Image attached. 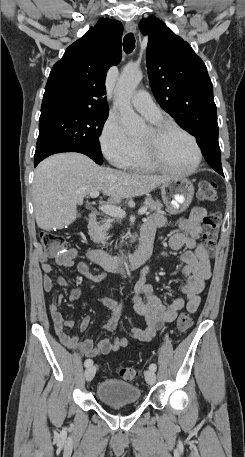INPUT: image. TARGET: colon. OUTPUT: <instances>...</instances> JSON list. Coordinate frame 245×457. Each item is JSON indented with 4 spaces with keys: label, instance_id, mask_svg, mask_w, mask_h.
Returning a JSON list of instances; mask_svg holds the SVG:
<instances>
[{
    "label": "colon",
    "instance_id": "1",
    "mask_svg": "<svg viewBox=\"0 0 245 457\" xmlns=\"http://www.w3.org/2000/svg\"><path fill=\"white\" fill-rule=\"evenodd\" d=\"M198 196L201 200L212 202L217 198V185L213 181L201 182L198 186ZM221 226V216L218 212H211L203 221V247L206 252L214 250ZM40 240L44 247L45 255L56 256L61 253H66V240L51 231H42ZM193 323L191 316L188 313H181L177 319V331L183 333L187 331ZM119 374L124 380H134L138 376V371L133 367H121Z\"/></svg>",
    "mask_w": 245,
    "mask_h": 457
}]
</instances>
